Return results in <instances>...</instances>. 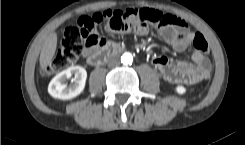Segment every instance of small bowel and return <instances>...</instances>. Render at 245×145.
Here are the masks:
<instances>
[{
    "label": "small bowel",
    "mask_w": 245,
    "mask_h": 145,
    "mask_svg": "<svg viewBox=\"0 0 245 145\" xmlns=\"http://www.w3.org/2000/svg\"><path fill=\"white\" fill-rule=\"evenodd\" d=\"M136 33L138 35H146L148 30L137 29ZM159 33L161 38L177 52H182L189 48L196 34L189 29L188 24L183 20H178L173 27H163ZM99 39V46L107 43L106 39L100 37ZM93 49L95 48L87 49L84 57L87 58ZM192 60L195 64L183 60H177L175 63H172L167 57L159 56L153 60V65L167 82L180 83L184 81L189 84H197L207 78L202 74L206 58L197 50H193Z\"/></svg>",
    "instance_id": "small-bowel-1"
}]
</instances>
